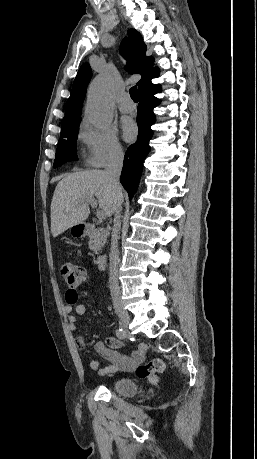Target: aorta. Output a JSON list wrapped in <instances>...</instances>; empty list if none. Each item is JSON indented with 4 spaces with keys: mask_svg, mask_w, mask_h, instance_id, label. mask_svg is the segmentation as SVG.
<instances>
[{
    "mask_svg": "<svg viewBox=\"0 0 257 459\" xmlns=\"http://www.w3.org/2000/svg\"><path fill=\"white\" fill-rule=\"evenodd\" d=\"M114 86L109 75H100L90 85L86 106L88 121L98 129L107 127L112 121Z\"/></svg>",
    "mask_w": 257,
    "mask_h": 459,
    "instance_id": "aorta-1",
    "label": "aorta"
}]
</instances>
